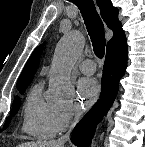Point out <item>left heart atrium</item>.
Wrapping results in <instances>:
<instances>
[{"mask_svg":"<svg viewBox=\"0 0 145 147\" xmlns=\"http://www.w3.org/2000/svg\"><path fill=\"white\" fill-rule=\"evenodd\" d=\"M79 98L84 106H90L100 95V85L94 78H83L77 86Z\"/></svg>","mask_w":145,"mask_h":147,"instance_id":"39dd6f15","label":"left heart atrium"}]
</instances>
